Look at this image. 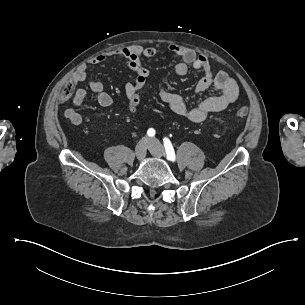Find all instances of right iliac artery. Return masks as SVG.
<instances>
[{
	"instance_id": "obj_1",
	"label": "right iliac artery",
	"mask_w": 305,
	"mask_h": 305,
	"mask_svg": "<svg viewBox=\"0 0 305 305\" xmlns=\"http://www.w3.org/2000/svg\"><path fill=\"white\" fill-rule=\"evenodd\" d=\"M148 136L152 137L155 135V130L153 128L148 129L147 131Z\"/></svg>"
}]
</instances>
